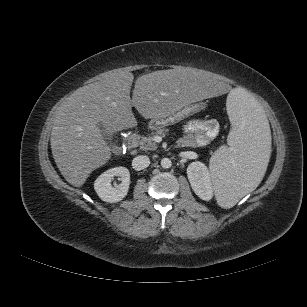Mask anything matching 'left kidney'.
<instances>
[{
	"mask_svg": "<svg viewBox=\"0 0 307 307\" xmlns=\"http://www.w3.org/2000/svg\"><path fill=\"white\" fill-rule=\"evenodd\" d=\"M187 176L193 191L199 198L205 201L212 199L213 188L211 176L204 163L196 161L189 164Z\"/></svg>",
	"mask_w": 307,
	"mask_h": 307,
	"instance_id": "obj_1",
	"label": "left kidney"
}]
</instances>
